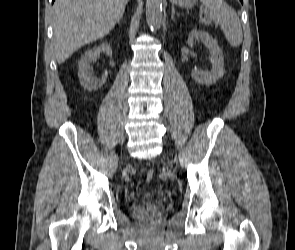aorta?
I'll return each mask as SVG.
<instances>
[{
    "mask_svg": "<svg viewBox=\"0 0 295 250\" xmlns=\"http://www.w3.org/2000/svg\"><path fill=\"white\" fill-rule=\"evenodd\" d=\"M146 19L153 29H158L162 20V0L146 1Z\"/></svg>",
    "mask_w": 295,
    "mask_h": 250,
    "instance_id": "aorta-1",
    "label": "aorta"
}]
</instances>
